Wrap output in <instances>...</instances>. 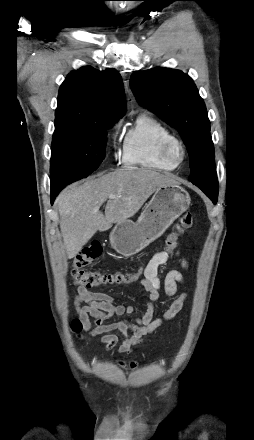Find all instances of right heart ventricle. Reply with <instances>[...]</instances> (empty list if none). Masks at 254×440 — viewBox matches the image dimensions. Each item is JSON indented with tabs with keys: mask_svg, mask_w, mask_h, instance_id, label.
Segmentation results:
<instances>
[{
	"mask_svg": "<svg viewBox=\"0 0 254 440\" xmlns=\"http://www.w3.org/2000/svg\"><path fill=\"white\" fill-rule=\"evenodd\" d=\"M171 135L169 128L155 117L139 115L124 137L123 165L161 172L173 171L175 166L165 162L159 153L162 142Z\"/></svg>",
	"mask_w": 254,
	"mask_h": 440,
	"instance_id": "obj_1",
	"label": "right heart ventricle"
}]
</instances>
